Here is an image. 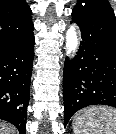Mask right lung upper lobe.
Wrapping results in <instances>:
<instances>
[{"instance_id":"obj_1","label":"right lung upper lobe","mask_w":116,"mask_h":134,"mask_svg":"<svg viewBox=\"0 0 116 134\" xmlns=\"http://www.w3.org/2000/svg\"><path fill=\"white\" fill-rule=\"evenodd\" d=\"M33 30L25 0H0V52Z\"/></svg>"}]
</instances>
